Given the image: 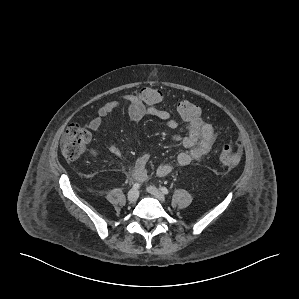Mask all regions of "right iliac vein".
I'll use <instances>...</instances> for the list:
<instances>
[{
	"label": "right iliac vein",
	"mask_w": 299,
	"mask_h": 299,
	"mask_svg": "<svg viewBox=\"0 0 299 299\" xmlns=\"http://www.w3.org/2000/svg\"><path fill=\"white\" fill-rule=\"evenodd\" d=\"M139 197V192L135 189H131L127 194V200L130 203H134Z\"/></svg>",
	"instance_id": "63e3f726"
}]
</instances>
